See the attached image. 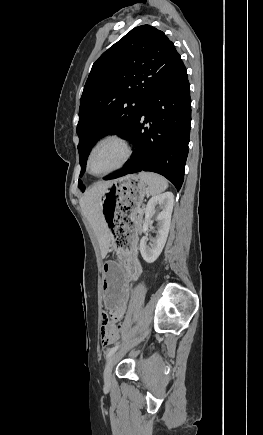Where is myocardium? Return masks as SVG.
Listing matches in <instances>:
<instances>
[{
  "label": "myocardium",
  "mask_w": 263,
  "mask_h": 435,
  "mask_svg": "<svg viewBox=\"0 0 263 435\" xmlns=\"http://www.w3.org/2000/svg\"><path fill=\"white\" fill-rule=\"evenodd\" d=\"M106 142H115V143L119 144L123 148V151H124L123 158H122L121 162L117 166H115L114 168H112V169H110V170H108V171H106L104 173H101V174H94L90 170V160H91V157H92L94 151L100 145H102V144H104ZM132 154H133V146H132V144L130 143V141L128 139H126L125 137H123V136H121L119 134L106 135V136L102 137L101 139H99L92 146V148L90 149V151L88 153V156H87V159H86V170H87V172L90 175H92L94 177H104V176H107V175H109V174H111V173H113L115 171H118L122 167H124L127 164V162L130 160Z\"/></svg>",
  "instance_id": "f54148a6"
}]
</instances>
